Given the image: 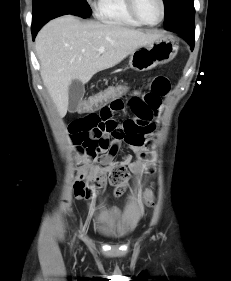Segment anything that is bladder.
<instances>
[{"label":"bladder","instance_id":"1","mask_svg":"<svg viewBox=\"0 0 231 281\" xmlns=\"http://www.w3.org/2000/svg\"><path fill=\"white\" fill-rule=\"evenodd\" d=\"M93 228L98 235L110 240L125 239L131 231L124 212L116 206L100 210L94 219Z\"/></svg>","mask_w":231,"mask_h":281}]
</instances>
